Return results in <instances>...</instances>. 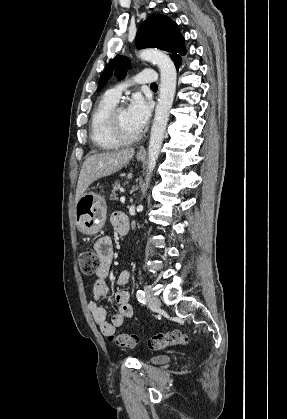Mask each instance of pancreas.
Instances as JSON below:
<instances>
[{"label": "pancreas", "mask_w": 287, "mask_h": 419, "mask_svg": "<svg viewBox=\"0 0 287 419\" xmlns=\"http://www.w3.org/2000/svg\"><path fill=\"white\" fill-rule=\"evenodd\" d=\"M120 187L121 186H120L119 182H115L113 184V189H112V193H111V196H110L111 200H117L118 199L116 192L120 189Z\"/></svg>", "instance_id": "1"}]
</instances>
